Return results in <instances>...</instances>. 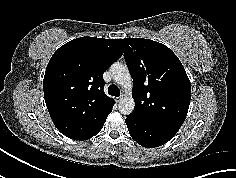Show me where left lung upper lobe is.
<instances>
[{"label":"left lung upper lobe","mask_w":236,"mask_h":178,"mask_svg":"<svg viewBox=\"0 0 236 178\" xmlns=\"http://www.w3.org/2000/svg\"><path fill=\"white\" fill-rule=\"evenodd\" d=\"M122 42L134 84L135 109L130 116L179 129L191 99V84L180 60L156 41L125 38Z\"/></svg>","instance_id":"5c2ea615"}]
</instances>
